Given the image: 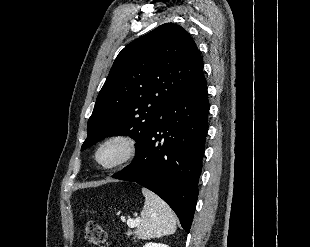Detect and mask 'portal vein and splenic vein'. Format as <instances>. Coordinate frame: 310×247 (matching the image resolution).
<instances>
[{"mask_svg":"<svg viewBox=\"0 0 310 247\" xmlns=\"http://www.w3.org/2000/svg\"><path fill=\"white\" fill-rule=\"evenodd\" d=\"M139 222H140V219H139V218H137L136 220L128 219V220H127V225H128L130 228H133V227H135L136 225H138Z\"/></svg>","mask_w":310,"mask_h":247,"instance_id":"18ae733b","label":"portal vein and splenic vein"}]
</instances>
